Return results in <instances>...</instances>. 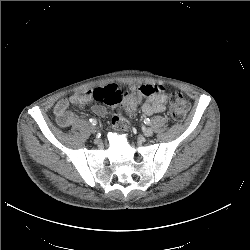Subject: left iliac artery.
<instances>
[{
  "mask_svg": "<svg viewBox=\"0 0 250 250\" xmlns=\"http://www.w3.org/2000/svg\"><path fill=\"white\" fill-rule=\"evenodd\" d=\"M144 123L147 124V125H149L151 123V121H150L149 118H145Z\"/></svg>",
  "mask_w": 250,
  "mask_h": 250,
  "instance_id": "1",
  "label": "left iliac artery"
}]
</instances>
